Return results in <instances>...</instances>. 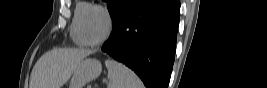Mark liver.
Segmentation results:
<instances>
[{"instance_id": "6515ba94", "label": "liver", "mask_w": 267, "mask_h": 88, "mask_svg": "<svg viewBox=\"0 0 267 88\" xmlns=\"http://www.w3.org/2000/svg\"><path fill=\"white\" fill-rule=\"evenodd\" d=\"M92 51L54 49L36 62L31 72L30 88H61L71 77L77 65Z\"/></svg>"}]
</instances>
